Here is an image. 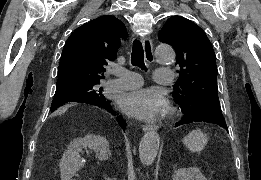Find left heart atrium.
Segmentation results:
<instances>
[{
	"label": "left heart atrium",
	"mask_w": 261,
	"mask_h": 180,
	"mask_svg": "<svg viewBox=\"0 0 261 180\" xmlns=\"http://www.w3.org/2000/svg\"><path fill=\"white\" fill-rule=\"evenodd\" d=\"M166 98L157 89L143 88L123 92L119 96L122 110L136 118L147 119L160 115L166 107Z\"/></svg>",
	"instance_id": "39dd6f15"
}]
</instances>
